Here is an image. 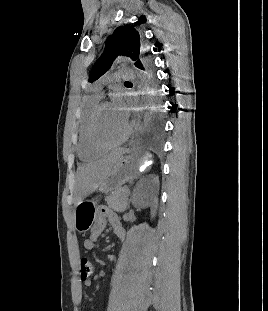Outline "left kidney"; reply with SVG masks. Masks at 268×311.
<instances>
[{"instance_id": "1", "label": "left kidney", "mask_w": 268, "mask_h": 311, "mask_svg": "<svg viewBox=\"0 0 268 311\" xmlns=\"http://www.w3.org/2000/svg\"><path fill=\"white\" fill-rule=\"evenodd\" d=\"M158 189L159 178L156 175H148L142 178L136 185L133 196L132 204L136 208H151V218L156 214L158 206Z\"/></svg>"}]
</instances>
